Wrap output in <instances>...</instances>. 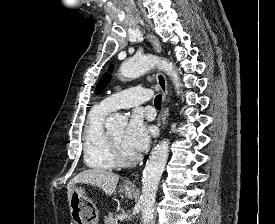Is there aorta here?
Segmentation results:
<instances>
[{
    "instance_id": "762f6f07",
    "label": "aorta",
    "mask_w": 275,
    "mask_h": 224,
    "mask_svg": "<svg viewBox=\"0 0 275 224\" xmlns=\"http://www.w3.org/2000/svg\"><path fill=\"white\" fill-rule=\"evenodd\" d=\"M158 67L165 71L173 80L177 93H180V82L177 72L174 67L167 60L159 58L155 55L136 56L124 61L120 66V74L128 79H134L143 73ZM127 117L122 114H114L106 121V127H125L127 124ZM169 155V141L163 140L153 149L142 177V224H151L154 214V204L156 200V193L158 185L167 163Z\"/></svg>"
}]
</instances>
